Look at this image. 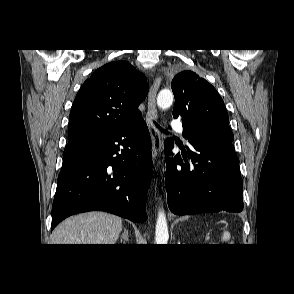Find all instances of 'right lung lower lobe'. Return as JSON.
<instances>
[{
    "label": "right lung lower lobe",
    "mask_w": 294,
    "mask_h": 294,
    "mask_svg": "<svg viewBox=\"0 0 294 294\" xmlns=\"http://www.w3.org/2000/svg\"><path fill=\"white\" fill-rule=\"evenodd\" d=\"M151 173V139L141 114L115 130L69 141L51 229L68 216L94 210L144 222Z\"/></svg>",
    "instance_id": "right-lung-lower-lobe-1"
}]
</instances>
